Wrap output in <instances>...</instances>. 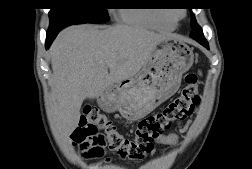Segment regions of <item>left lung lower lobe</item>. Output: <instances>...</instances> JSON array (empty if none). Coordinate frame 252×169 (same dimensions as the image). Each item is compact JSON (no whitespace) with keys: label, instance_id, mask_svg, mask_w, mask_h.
Masks as SVG:
<instances>
[{"label":"left lung lower lobe","instance_id":"0a47b994","mask_svg":"<svg viewBox=\"0 0 252 169\" xmlns=\"http://www.w3.org/2000/svg\"><path fill=\"white\" fill-rule=\"evenodd\" d=\"M191 38L195 39L197 42H199L201 45L209 49L208 43L205 40L202 31L196 32L194 35H190Z\"/></svg>","mask_w":252,"mask_h":169}]
</instances>
